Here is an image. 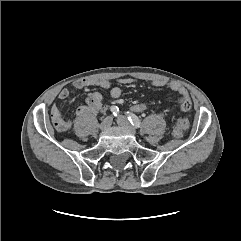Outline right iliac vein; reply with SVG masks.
Returning a JSON list of instances; mask_svg holds the SVG:
<instances>
[{"instance_id":"63e3f726","label":"right iliac vein","mask_w":241,"mask_h":241,"mask_svg":"<svg viewBox=\"0 0 241 241\" xmlns=\"http://www.w3.org/2000/svg\"><path fill=\"white\" fill-rule=\"evenodd\" d=\"M111 123H112V117L111 116L105 117L100 124V129L101 130L108 129L111 126Z\"/></svg>"}]
</instances>
